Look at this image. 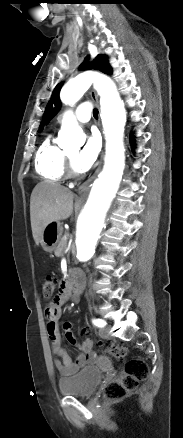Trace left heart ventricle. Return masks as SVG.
<instances>
[{"label":"left heart ventricle","instance_id":"obj_1","mask_svg":"<svg viewBox=\"0 0 183 438\" xmlns=\"http://www.w3.org/2000/svg\"><path fill=\"white\" fill-rule=\"evenodd\" d=\"M77 156V152L69 153V157L74 161Z\"/></svg>","mask_w":183,"mask_h":438}]
</instances>
